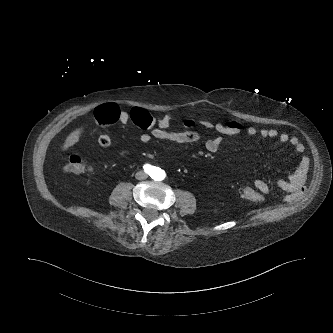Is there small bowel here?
Returning a JSON list of instances; mask_svg holds the SVG:
<instances>
[{"mask_svg":"<svg viewBox=\"0 0 333 333\" xmlns=\"http://www.w3.org/2000/svg\"><path fill=\"white\" fill-rule=\"evenodd\" d=\"M121 124L125 125L129 121H132L136 125H139L142 129H147L150 127L148 132L142 133L139 137L142 143H149L154 140L168 141L178 144H190L195 143L199 138L195 135V130L191 133H186L184 130L181 131H169L168 128L173 124L182 125L183 123L177 122L170 115H160L157 117H152L145 109L140 107H134L129 113L125 111H120L119 119ZM234 121V120H232ZM208 122L207 120H199L198 123ZM245 133L248 137H255L259 135L262 138L276 139L281 143H288L292 146L294 151L300 156L299 160V170L298 172L290 178L280 179L278 184L280 187L285 189L288 194L285 196L284 200L289 201L294 199L299 195L305 185V175L309 168V158L304 155L305 147L303 143L295 136H290L287 133L280 132L273 128H262L257 129L253 126L243 128L239 133L230 135H213L205 142V148L210 153H216L219 151L224 138L226 136H238ZM97 142L103 146L108 147L112 143L111 135L107 131H102L98 137ZM124 153L128 152L126 148L122 150ZM253 186L262 194H267L270 190L269 184L262 179H255L253 181Z\"/></svg>","mask_w":333,"mask_h":333,"instance_id":"c3829d8e","label":"small bowel"}]
</instances>
